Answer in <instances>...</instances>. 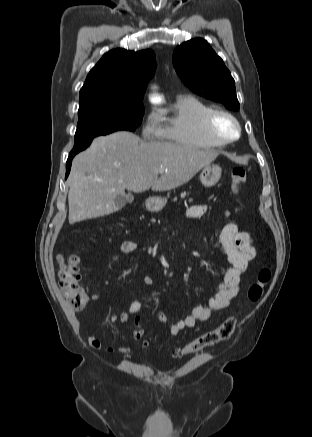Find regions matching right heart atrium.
Returning a JSON list of instances; mask_svg holds the SVG:
<instances>
[{
    "label": "right heart atrium",
    "instance_id": "obj_1",
    "mask_svg": "<svg viewBox=\"0 0 312 437\" xmlns=\"http://www.w3.org/2000/svg\"><path fill=\"white\" fill-rule=\"evenodd\" d=\"M142 136L147 140H161L163 138L162 127L156 113L150 112L142 125Z\"/></svg>",
    "mask_w": 312,
    "mask_h": 437
}]
</instances>
